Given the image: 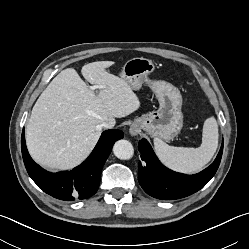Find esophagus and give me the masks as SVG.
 Wrapping results in <instances>:
<instances>
[{
    "instance_id": "obj_1",
    "label": "esophagus",
    "mask_w": 249,
    "mask_h": 249,
    "mask_svg": "<svg viewBox=\"0 0 249 249\" xmlns=\"http://www.w3.org/2000/svg\"><path fill=\"white\" fill-rule=\"evenodd\" d=\"M129 132L132 136H136L140 132V128L136 125H132L129 129Z\"/></svg>"
}]
</instances>
